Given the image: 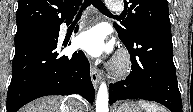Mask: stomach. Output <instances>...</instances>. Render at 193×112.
<instances>
[{
  "mask_svg": "<svg viewBox=\"0 0 193 112\" xmlns=\"http://www.w3.org/2000/svg\"><path fill=\"white\" fill-rule=\"evenodd\" d=\"M115 112H142V111L134 103L125 102L121 104L119 107H117L115 109Z\"/></svg>",
  "mask_w": 193,
  "mask_h": 112,
  "instance_id": "1",
  "label": "stomach"
}]
</instances>
